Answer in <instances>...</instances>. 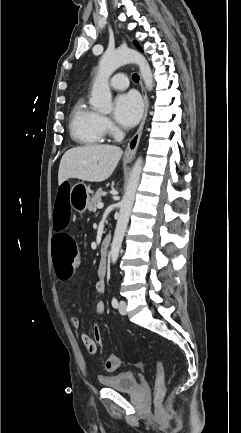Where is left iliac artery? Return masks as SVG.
Instances as JSON below:
<instances>
[{"instance_id": "left-iliac-artery-1", "label": "left iliac artery", "mask_w": 241, "mask_h": 433, "mask_svg": "<svg viewBox=\"0 0 241 433\" xmlns=\"http://www.w3.org/2000/svg\"><path fill=\"white\" fill-rule=\"evenodd\" d=\"M111 303H112V306H113L114 308H117V307H118V301H117V299H116L115 297L112 298Z\"/></svg>"}]
</instances>
